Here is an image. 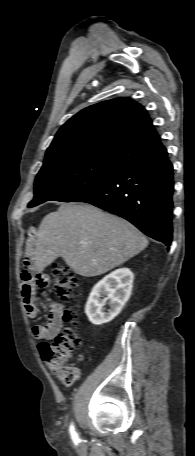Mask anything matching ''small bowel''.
<instances>
[{
  "label": "small bowel",
  "instance_id": "c3829d8e",
  "mask_svg": "<svg viewBox=\"0 0 195 456\" xmlns=\"http://www.w3.org/2000/svg\"><path fill=\"white\" fill-rule=\"evenodd\" d=\"M34 242L35 232L33 229H30L25 248L22 271L23 282L21 286V296L25 312L29 318H35L38 315V308L35 303V287L38 286L40 288H46L50 283L47 275L33 274ZM61 326V308L58 304L53 303L50 308V314L47 322L44 325L33 326L31 332L33 337L38 340H50L59 333Z\"/></svg>",
  "mask_w": 195,
  "mask_h": 456
}]
</instances>
